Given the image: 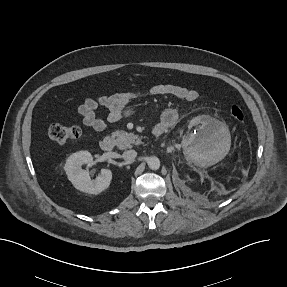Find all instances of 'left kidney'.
Masks as SVG:
<instances>
[{"label":"left kidney","mask_w":287,"mask_h":287,"mask_svg":"<svg viewBox=\"0 0 287 287\" xmlns=\"http://www.w3.org/2000/svg\"><path fill=\"white\" fill-rule=\"evenodd\" d=\"M200 123L198 119H193L189 127L197 126ZM201 129H207L206 133L201 135L187 134L183 138L185 149L190 146L194 156H210L207 163L200 162L201 165L216 163L221 160L230 148V133L224 127H209L202 125Z\"/></svg>","instance_id":"5707ae66"}]
</instances>
